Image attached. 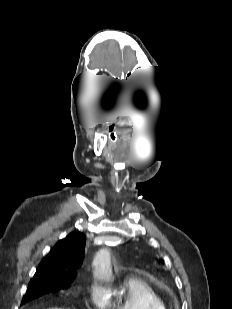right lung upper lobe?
<instances>
[{"label": "right lung upper lobe", "instance_id": "cb5924a9", "mask_svg": "<svg viewBox=\"0 0 232 309\" xmlns=\"http://www.w3.org/2000/svg\"><path fill=\"white\" fill-rule=\"evenodd\" d=\"M86 240L80 232H72L60 240L44 257L33 277L73 281L77 268L82 264Z\"/></svg>", "mask_w": 232, "mask_h": 309}]
</instances>
